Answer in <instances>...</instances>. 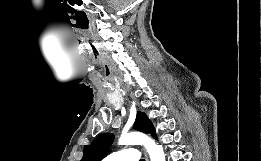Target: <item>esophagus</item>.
<instances>
[{
    "label": "esophagus",
    "mask_w": 261,
    "mask_h": 161,
    "mask_svg": "<svg viewBox=\"0 0 261 161\" xmlns=\"http://www.w3.org/2000/svg\"><path fill=\"white\" fill-rule=\"evenodd\" d=\"M144 155H145L146 161H149L148 156L145 151H144Z\"/></svg>",
    "instance_id": "34e87169"
}]
</instances>
